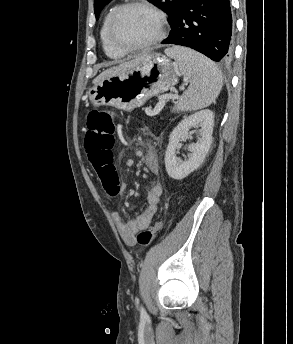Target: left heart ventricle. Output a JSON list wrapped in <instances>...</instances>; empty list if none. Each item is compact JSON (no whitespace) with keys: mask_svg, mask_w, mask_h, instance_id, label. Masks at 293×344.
Segmentation results:
<instances>
[{"mask_svg":"<svg viewBox=\"0 0 293 344\" xmlns=\"http://www.w3.org/2000/svg\"><path fill=\"white\" fill-rule=\"evenodd\" d=\"M156 17L146 9L133 7L124 10L116 24V35L126 45H139L147 42L157 33Z\"/></svg>","mask_w":293,"mask_h":344,"instance_id":"left-heart-ventricle-1","label":"left heart ventricle"}]
</instances>
